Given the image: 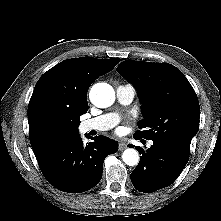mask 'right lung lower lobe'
I'll return each mask as SVG.
<instances>
[{"mask_svg": "<svg viewBox=\"0 0 221 221\" xmlns=\"http://www.w3.org/2000/svg\"><path fill=\"white\" fill-rule=\"evenodd\" d=\"M83 144L80 135L59 143L36 157L44 177L57 189L80 193L99 183L107 155L116 153L118 143L105 136Z\"/></svg>", "mask_w": 221, "mask_h": 221, "instance_id": "1", "label": "right lung lower lobe"}]
</instances>
